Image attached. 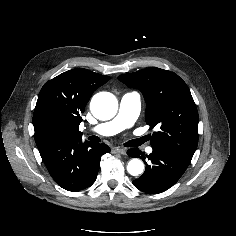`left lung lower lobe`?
<instances>
[{"instance_id": "0a47b994", "label": "left lung lower lobe", "mask_w": 236, "mask_h": 236, "mask_svg": "<svg viewBox=\"0 0 236 236\" xmlns=\"http://www.w3.org/2000/svg\"><path fill=\"white\" fill-rule=\"evenodd\" d=\"M152 153L146 157L138 148L128 150L131 157L141 158L146 169L142 176L133 181L136 188L141 191L158 194L172 187L183 175L189 166L192 157L178 154L169 149L152 146Z\"/></svg>"}]
</instances>
